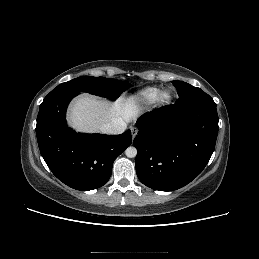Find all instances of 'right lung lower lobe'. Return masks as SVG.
I'll return each instance as SVG.
<instances>
[{"instance_id": "98d812e1", "label": "right lung lower lobe", "mask_w": 259, "mask_h": 259, "mask_svg": "<svg viewBox=\"0 0 259 259\" xmlns=\"http://www.w3.org/2000/svg\"><path fill=\"white\" fill-rule=\"evenodd\" d=\"M78 94L61 93L45 99L37 116L36 134L42 157L52 173L71 188L88 191L110 178L114 160L132 143L131 131L120 135L76 133L65 113Z\"/></svg>"}]
</instances>
